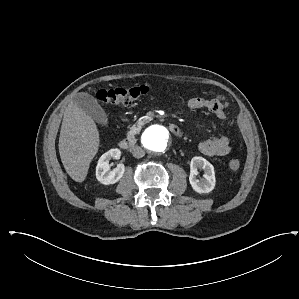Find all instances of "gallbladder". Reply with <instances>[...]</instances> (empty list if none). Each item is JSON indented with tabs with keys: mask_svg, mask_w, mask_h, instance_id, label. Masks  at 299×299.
<instances>
[{
	"mask_svg": "<svg viewBox=\"0 0 299 299\" xmlns=\"http://www.w3.org/2000/svg\"><path fill=\"white\" fill-rule=\"evenodd\" d=\"M73 102L97 123L102 126L108 125L107 114L92 95L78 93L74 96Z\"/></svg>",
	"mask_w": 299,
	"mask_h": 299,
	"instance_id": "bac80fb5",
	"label": "gallbladder"
}]
</instances>
